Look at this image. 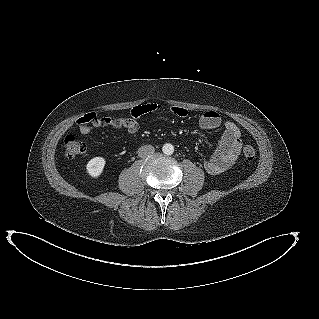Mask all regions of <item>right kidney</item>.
I'll return each instance as SVG.
<instances>
[{
    "label": "right kidney",
    "instance_id": "obj_1",
    "mask_svg": "<svg viewBox=\"0 0 319 319\" xmlns=\"http://www.w3.org/2000/svg\"><path fill=\"white\" fill-rule=\"evenodd\" d=\"M106 161L102 157H94L88 161L86 165L87 173L94 178H97L103 172Z\"/></svg>",
    "mask_w": 319,
    "mask_h": 319
}]
</instances>
